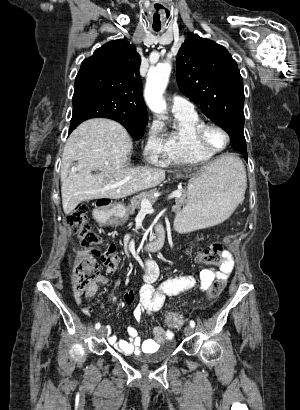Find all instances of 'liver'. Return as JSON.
I'll list each match as a JSON object with an SVG mask.
<instances>
[{
	"mask_svg": "<svg viewBox=\"0 0 300 410\" xmlns=\"http://www.w3.org/2000/svg\"><path fill=\"white\" fill-rule=\"evenodd\" d=\"M132 148L131 137L115 121L97 118L80 124L69 136L62 155L61 195L64 213L69 214L84 201L124 198L163 182V169L126 166ZM230 157L221 156L207 167H223ZM73 161H78L77 172H69ZM94 170H100L101 173L92 174Z\"/></svg>",
	"mask_w": 300,
	"mask_h": 410,
	"instance_id": "6515ba94",
	"label": "liver"
}]
</instances>
